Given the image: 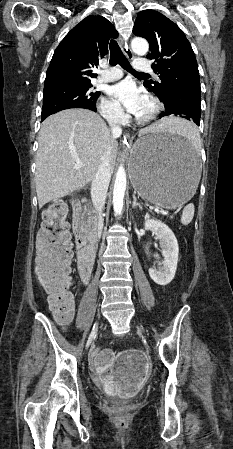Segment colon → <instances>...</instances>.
<instances>
[{
    "label": "colon",
    "mask_w": 233,
    "mask_h": 449,
    "mask_svg": "<svg viewBox=\"0 0 233 449\" xmlns=\"http://www.w3.org/2000/svg\"><path fill=\"white\" fill-rule=\"evenodd\" d=\"M65 200L51 202L44 212L43 226L37 236L36 274L54 312L65 318L72 314V245Z\"/></svg>",
    "instance_id": "colon-1"
}]
</instances>
